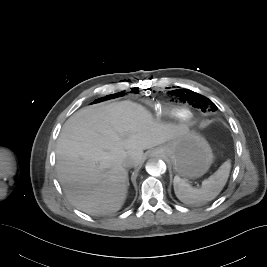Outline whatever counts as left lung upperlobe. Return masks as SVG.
Returning a JSON list of instances; mask_svg holds the SVG:
<instances>
[{"mask_svg":"<svg viewBox=\"0 0 267 267\" xmlns=\"http://www.w3.org/2000/svg\"><path fill=\"white\" fill-rule=\"evenodd\" d=\"M162 98L165 102L171 103L174 106H189L191 104L195 107H202L215 111L217 107L208 98L192 92L189 89H180L174 86H167L162 91Z\"/></svg>","mask_w":267,"mask_h":267,"instance_id":"obj_1","label":"left lung upper lobe"}]
</instances>
